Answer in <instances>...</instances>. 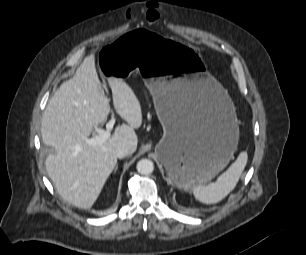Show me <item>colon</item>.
<instances>
[{"label":"colon","instance_id":"1","mask_svg":"<svg viewBox=\"0 0 306 255\" xmlns=\"http://www.w3.org/2000/svg\"><path fill=\"white\" fill-rule=\"evenodd\" d=\"M144 15L150 23H153L157 21L159 17V11L156 8H148L145 10Z\"/></svg>","mask_w":306,"mask_h":255}]
</instances>
